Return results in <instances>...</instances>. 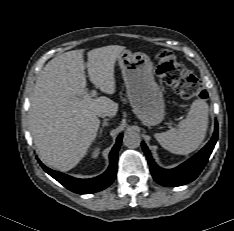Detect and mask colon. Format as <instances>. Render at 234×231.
Instances as JSON below:
<instances>
[{
    "label": "colon",
    "instance_id": "obj_1",
    "mask_svg": "<svg viewBox=\"0 0 234 231\" xmlns=\"http://www.w3.org/2000/svg\"><path fill=\"white\" fill-rule=\"evenodd\" d=\"M155 72L183 99H205L207 97V92L201 86L197 76L178 62L171 52L162 51L158 54Z\"/></svg>",
    "mask_w": 234,
    "mask_h": 231
}]
</instances>
